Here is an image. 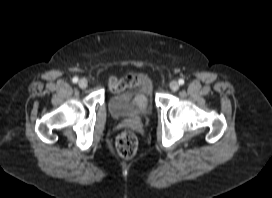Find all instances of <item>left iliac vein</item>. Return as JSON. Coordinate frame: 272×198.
Segmentation results:
<instances>
[{
	"instance_id": "4c4485c4",
	"label": "left iliac vein",
	"mask_w": 272,
	"mask_h": 198,
	"mask_svg": "<svg viewBox=\"0 0 272 198\" xmlns=\"http://www.w3.org/2000/svg\"><path fill=\"white\" fill-rule=\"evenodd\" d=\"M169 86L172 91H177L179 89V83L177 81H171Z\"/></svg>"
}]
</instances>
